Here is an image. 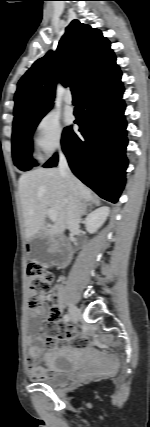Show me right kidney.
I'll return each mask as SVG.
<instances>
[{
	"mask_svg": "<svg viewBox=\"0 0 150 427\" xmlns=\"http://www.w3.org/2000/svg\"><path fill=\"white\" fill-rule=\"evenodd\" d=\"M110 209L107 206L100 207L91 212L85 219V226L89 233H95L109 216Z\"/></svg>",
	"mask_w": 150,
	"mask_h": 427,
	"instance_id": "1",
	"label": "right kidney"
}]
</instances>
